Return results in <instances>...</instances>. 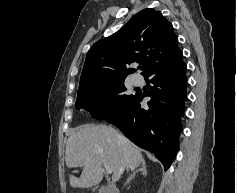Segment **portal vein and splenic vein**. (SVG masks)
<instances>
[{"label":"portal vein and splenic vein","mask_w":237,"mask_h":193,"mask_svg":"<svg viewBox=\"0 0 237 193\" xmlns=\"http://www.w3.org/2000/svg\"><path fill=\"white\" fill-rule=\"evenodd\" d=\"M104 168L106 169V172L108 174H111L113 172L112 168L110 166H108L106 163L103 164Z\"/></svg>","instance_id":"portal-vein-and-splenic-vein-1"}]
</instances>
